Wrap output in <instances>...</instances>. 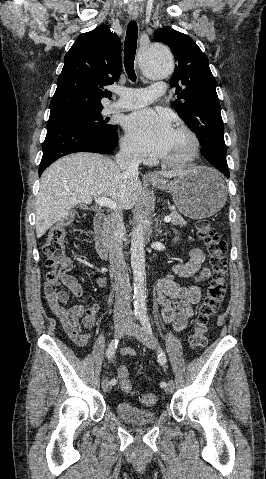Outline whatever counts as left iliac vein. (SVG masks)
<instances>
[{"label":"left iliac vein","instance_id":"obj_1","mask_svg":"<svg viewBox=\"0 0 266 479\" xmlns=\"http://www.w3.org/2000/svg\"><path fill=\"white\" fill-rule=\"evenodd\" d=\"M125 332L127 335H132L135 338H137L149 349L154 350L157 348L156 340L144 328L132 323L131 321L128 322V328L126 329ZM173 390H174V382L172 380H169L165 388V391L167 394H170L173 392Z\"/></svg>","mask_w":266,"mask_h":479}]
</instances>
